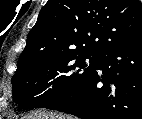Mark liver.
<instances>
[{
    "label": "liver",
    "mask_w": 142,
    "mask_h": 119,
    "mask_svg": "<svg viewBox=\"0 0 142 119\" xmlns=\"http://www.w3.org/2000/svg\"><path fill=\"white\" fill-rule=\"evenodd\" d=\"M22 119H76V118L62 114H47L42 112H35L31 115L24 116Z\"/></svg>",
    "instance_id": "6515ba94"
}]
</instances>
